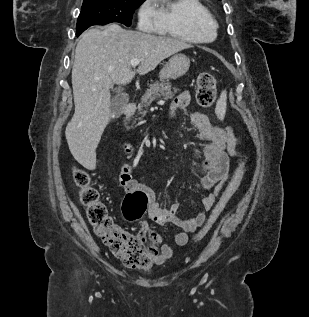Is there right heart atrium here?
Wrapping results in <instances>:
<instances>
[{
  "label": "right heart atrium",
  "instance_id": "right-heart-atrium-1",
  "mask_svg": "<svg viewBox=\"0 0 309 317\" xmlns=\"http://www.w3.org/2000/svg\"><path fill=\"white\" fill-rule=\"evenodd\" d=\"M153 1L145 0L138 9V24L142 29H151L158 23V14Z\"/></svg>",
  "mask_w": 309,
  "mask_h": 317
}]
</instances>
